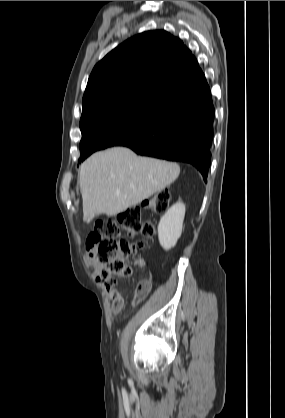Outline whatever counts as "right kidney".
Returning <instances> with one entry per match:
<instances>
[{
	"mask_svg": "<svg viewBox=\"0 0 285 418\" xmlns=\"http://www.w3.org/2000/svg\"><path fill=\"white\" fill-rule=\"evenodd\" d=\"M185 216V205L175 203L160 219L158 224L159 243L165 250L173 248L180 238Z\"/></svg>",
	"mask_w": 285,
	"mask_h": 418,
	"instance_id": "ca27d5eb",
	"label": "right kidney"
}]
</instances>
